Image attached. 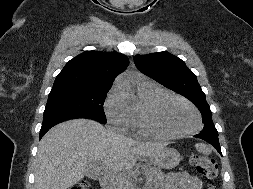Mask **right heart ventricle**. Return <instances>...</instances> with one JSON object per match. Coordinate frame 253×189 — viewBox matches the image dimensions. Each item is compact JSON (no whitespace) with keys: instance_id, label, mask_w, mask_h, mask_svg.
<instances>
[{"instance_id":"right-heart-ventricle-1","label":"right heart ventricle","mask_w":253,"mask_h":189,"mask_svg":"<svg viewBox=\"0 0 253 189\" xmlns=\"http://www.w3.org/2000/svg\"><path fill=\"white\" fill-rule=\"evenodd\" d=\"M135 88L138 102L129 106L130 127L139 132L149 134L143 122L145 109L152 99L165 91L156 84L147 81L138 82Z\"/></svg>"}]
</instances>
